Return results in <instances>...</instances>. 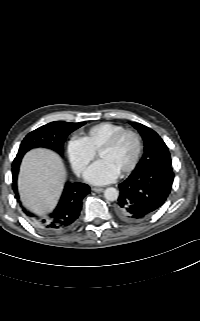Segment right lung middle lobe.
<instances>
[{
    "label": "right lung middle lobe",
    "mask_w": 200,
    "mask_h": 321,
    "mask_svg": "<svg viewBox=\"0 0 200 321\" xmlns=\"http://www.w3.org/2000/svg\"><path fill=\"white\" fill-rule=\"evenodd\" d=\"M85 122L70 123L64 121H55L43 125L30 132L22 141L18 150V155L24 154L36 147L49 148L61 156L63 155V145L67 136L83 126Z\"/></svg>",
    "instance_id": "1"
}]
</instances>
